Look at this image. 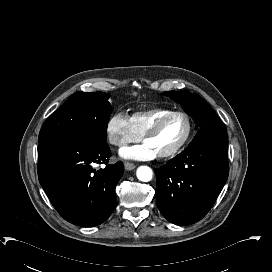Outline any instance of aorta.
Here are the masks:
<instances>
[{
    "label": "aorta",
    "mask_w": 272,
    "mask_h": 272,
    "mask_svg": "<svg viewBox=\"0 0 272 272\" xmlns=\"http://www.w3.org/2000/svg\"><path fill=\"white\" fill-rule=\"evenodd\" d=\"M136 176L140 181L148 182L153 177V171L148 166H140L137 168Z\"/></svg>",
    "instance_id": "obj_1"
}]
</instances>
